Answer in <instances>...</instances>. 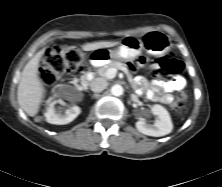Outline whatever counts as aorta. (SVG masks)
<instances>
[{"mask_svg":"<svg viewBox=\"0 0 222 187\" xmlns=\"http://www.w3.org/2000/svg\"><path fill=\"white\" fill-rule=\"evenodd\" d=\"M123 87L119 84H115L111 87V94L113 96H121L123 94Z\"/></svg>","mask_w":222,"mask_h":187,"instance_id":"1","label":"aorta"}]
</instances>
